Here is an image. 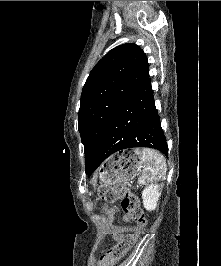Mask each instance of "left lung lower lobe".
I'll use <instances>...</instances> for the list:
<instances>
[{"label":"left lung lower lobe","mask_w":221,"mask_h":266,"mask_svg":"<svg viewBox=\"0 0 221 266\" xmlns=\"http://www.w3.org/2000/svg\"><path fill=\"white\" fill-rule=\"evenodd\" d=\"M134 147L154 148L168 155L149 77L127 96L118 109L92 163L86 166V173L90 176L110 155Z\"/></svg>","instance_id":"left-lung-lower-lobe-1"}]
</instances>
